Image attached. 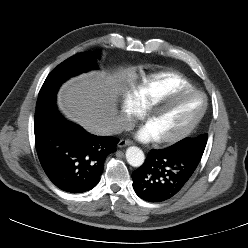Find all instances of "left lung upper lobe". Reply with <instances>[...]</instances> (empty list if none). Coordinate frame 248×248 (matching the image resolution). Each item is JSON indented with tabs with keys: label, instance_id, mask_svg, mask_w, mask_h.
<instances>
[{
	"label": "left lung upper lobe",
	"instance_id": "left-lung-upper-lobe-1",
	"mask_svg": "<svg viewBox=\"0 0 248 248\" xmlns=\"http://www.w3.org/2000/svg\"><path fill=\"white\" fill-rule=\"evenodd\" d=\"M207 134H202L196 138H184L183 140L177 142L173 146L177 147H190L198 150L204 151L206 144H207Z\"/></svg>",
	"mask_w": 248,
	"mask_h": 248
}]
</instances>
